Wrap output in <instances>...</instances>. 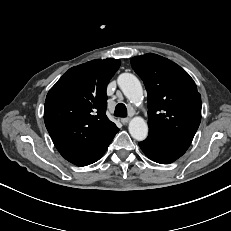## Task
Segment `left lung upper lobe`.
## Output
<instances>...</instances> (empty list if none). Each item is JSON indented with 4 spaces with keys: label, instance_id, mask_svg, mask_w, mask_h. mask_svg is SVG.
<instances>
[{
    "label": "left lung upper lobe",
    "instance_id": "left-lung-upper-lobe-1",
    "mask_svg": "<svg viewBox=\"0 0 231 231\" xmlns=\"http://www.w3.org/2000/svg\"><path fill=\"white\" fill-rule=\"evenodd\" d=\"M148 93L149 134L185 150L201 120V96L190 75L173 61L148 53L131 60Z\"/></svg>",
    "mask_w": 231,
    "mask_h": 231
}]
</instances>
